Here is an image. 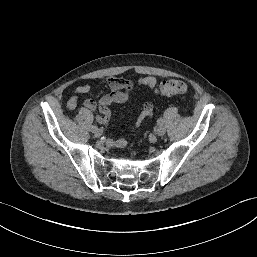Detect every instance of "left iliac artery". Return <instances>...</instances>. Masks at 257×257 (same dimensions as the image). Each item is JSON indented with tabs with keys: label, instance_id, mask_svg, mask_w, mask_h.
Instances as JSON below:
<instances>
[{
	"label": "left iliac artery",
	"instance_id": "44dca946",
	"mask_svg": "<svg viewBox=\"0 0 257 257\" xmlns=\"http://www.w3.org/2000/svg\"><path fill=\"white\" fill-rule=\"evenodd\" d=\"M157 124H158V125H162V124H163V119H162V118H159V119L157 120Z\"/></svg>",
	"mask_w": 257,
	"mask_h": 257
}]
</instances>
